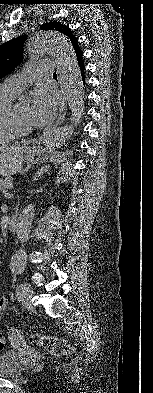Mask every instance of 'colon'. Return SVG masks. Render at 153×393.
Here are the masks:
<instances>
[{
  "label": "colon",
  "instance_id": "1",
  "mask_svg": "<svg viewBox=\"0 0 153 393\" xmlns=\"http://www.w3.org/2000/svg\"><path fill=\"white\" fill-rule=\"evenodd\" d=\"M29 343L33 346L40 347L46 352L56 356L69 355L72 353V348L66 344L65 341L57 337L44 336L36 333L29 337ZM5 345L6 339L0 333V351L4 349Z\"/></svg>",
  "mask_w": 153,
  "mask_h": 393
}]
</instances>
